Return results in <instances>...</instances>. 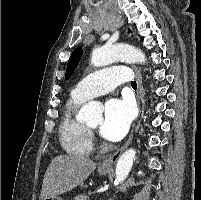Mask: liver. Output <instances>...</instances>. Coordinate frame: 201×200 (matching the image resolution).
Wrapping results in <instances>:
<instances>
[{
  "label": "liver",
  "mask_w": 201,
  "mask_h": 200,
  "mask_svg": "<svg viewBox=\"0 0 201 200\" xmlns=\"http://www.w3.org/2000/svg\"><path fill=\"white\" fill-rule=\"evenodd\" d=\"M96 168L90 159L77 156H56L48 166L39 200L64 194L86 180Z\"/></svg>",
  "instance_id": "1"
}]
</instances>
